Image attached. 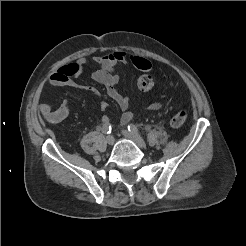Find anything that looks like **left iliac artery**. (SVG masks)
I'll return each instance as SVG.
<instances>
[{
	"mask_svg": "<svg viewBox=\"0 0 246 246\" xmlns=\"http://www.w3.org/2000/svg\"><path fill=\"white\" fill-rule=\"evenodd\" d=\"M128 130L131 133H135V134H138L139 133L138 128L134 124H129L128 125Z\"/></svg>",
	"mask_w": 246,
	"mask_h": 246,
	"instance_id": "left-iliac-artery-1",
	"label": "left iliac artery"
}]
</instances>
